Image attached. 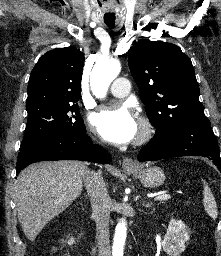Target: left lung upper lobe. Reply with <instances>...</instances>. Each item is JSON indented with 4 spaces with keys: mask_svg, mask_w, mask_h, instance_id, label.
<instances>
[{
    "mask_svg": "<svg viewBox=\"0 0 221 256\" xmlns=\"http://www.w3.org/2000/svg\"><path fill=\"white\" fill-rule=\"evenodd\" d=\"M128 65L156 132L208 121L192 62L177 45L138 41L130 49Z\"/></svg>",
    "mask_w": 221,
    "mask_h": 256,
    "instance_id": "left-lung-upper-lobe-1",
    "label": "left lung upper lobe"
}]
</instances>
